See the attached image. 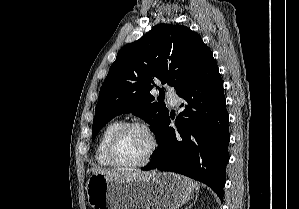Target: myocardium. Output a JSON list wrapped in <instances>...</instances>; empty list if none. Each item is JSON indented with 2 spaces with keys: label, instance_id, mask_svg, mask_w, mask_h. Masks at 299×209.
I'll return each instance as SVG.
<instances>
[{
  "label": "myocardium",
  "instance_id": "f54148a6",
  "mask_svg": "<svg viewBox=\"0 0 299 209\" xmlns=\"http://www.w3.org/2000/svg\"><path fill=\"white\" fill-rule=\"evenodd\" d=\"M129 129H137L142 131L148 138L149 141V148L144 156V158L138 162L131 163V164H122L116 161L115 159V146L118 138L127 130ZM158 142L154 132L151 130L149 126L144 123L131 121L122 123L111 135L108 145H107V159L111 167L120 169V170H129V169H136L147 165L153 155L157 150Z\"/></svg>",
  "mask_w": 299,
  "mask_h": 209
}]
</instances>
